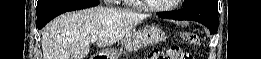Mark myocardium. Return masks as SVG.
<instances>
[{
    "mask_svg": "<svg viewBox=\"0 0 261 59\" xmlns=\"http://www.w3.org/2000/svg\"><path fill=\"white\" fill-rule=\"evenodd\" d=\"M180 2H181V0H174V2L168 6H155V5L148 4L145 1H139V4L143 9H145L147 11L168 12V11L175 9Z\"/></svg>",
    "mask_w": 261,
    "mask_h": 59,
    "instance_id": "obj_1",
    "label": "myocardium"
}]
</instances>
